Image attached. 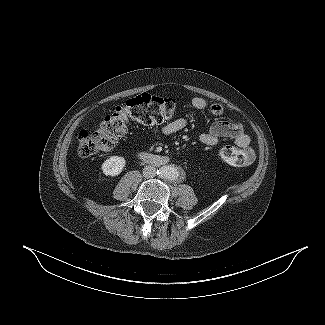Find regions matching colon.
<instances>
[{"instance_id":"obj_1","label":"colon","mask_w":325,"mask_h":325,"mask_svg":"<svg viewBox=\"0 0 325 325\" xmlns=\"http://www.w3.org/2000/svg\"><path fill=\"white\" fill-rule=\"evenodd\" d=\"M177 102L170 97L154 96L147 93L137 95L117 106L107 114L95 131L82 130L78 135V153L81 157L111 150L126 134L130 123L158 125L173 117ZM219 158L230 165L249 164L246 151L233 147H222Z\"/></svg>"}]
</instances>
